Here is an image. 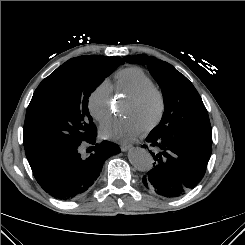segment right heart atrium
Here are the masks:
<instances>
[{"label": "right heart atrium", "mask_w": 245, "mask_h": 245, "mask_svg": "<svg viewBox=\"0 0 245 245\" xmlns=\"http://www.w3.org/2000/svg\"><path fill=\"white\" fill-rule=\"evenodd\" d=\"M113 87L109 81L99 83L88 97V110L98 122L107 121L112 113Z\"/></svg>", "instance_id": "obj_1"}]
</instances>
